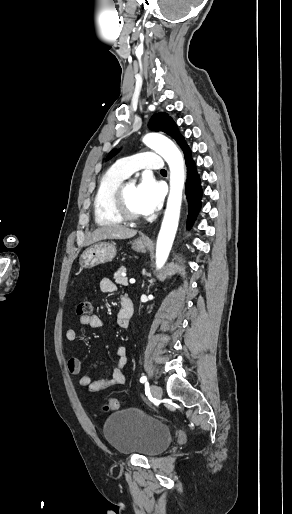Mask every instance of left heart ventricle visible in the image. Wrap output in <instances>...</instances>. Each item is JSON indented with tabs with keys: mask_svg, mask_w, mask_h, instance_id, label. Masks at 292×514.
<instances>
[{
	"mask_svg": "<svg viewBox=\"0 0 292 514\" xmlns=\"http://www.w3.org/2000/svg\"><path fill=\"white\" fill-rule=\"evenodd\" d=\"M124 201L126 207L131 213L134 214H142L143 211L140 208L137 195H136V187L132 184H127L124 191Z\"/></svg>",
	"mask_w": 292,
	"mask_h": 514,
	"instance_id": "b2bd125f",
	"label": "left heart ventricle"
}]
</instances>
